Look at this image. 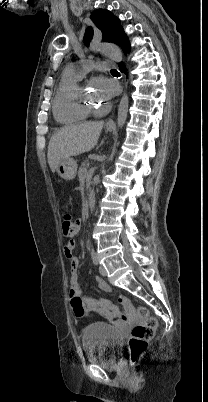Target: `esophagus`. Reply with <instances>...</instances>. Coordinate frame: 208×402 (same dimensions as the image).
Masks as SVG:
<instances>
[{
	"mask_svg": "<svg viewBox=\"0 0 208 402\" xmlns=\"http://www.w3.org/2000/svg\"><path fill=\"white\" fill-rule=\"evenodd\" d=\"M107 125H109V126H114L113 120H108Z\"/></svg>",
	"mask_w": 208,
	"mask_h": 402,
	"instance_id": "34e87169",
	"label": "esophagus"
}]
</instances>
